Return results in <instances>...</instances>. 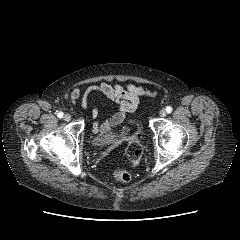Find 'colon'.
Listing matches in <instances>:
<instances>
[{
  "instance_id": "1",
  "label": "colon",
  "mask_w": 240,
  "mask_h": 240,
  "mask_svg": "<svg viewBox=\"0 0 240 240\" xmlns=\"http://www.w3.org/2000/svg\"><path fill=\"white\" fill-rule=\"evenodd\" d=\"M124 133H128L129 130L127 128L123 129ZM127 155L132 163H137L141 157L142 154V148L138 141H130L127 144ZM113 177L115 180L121 182V183H127L130 181L131 176L128 171L123 169H117L113 172Z\"/></svg>"
}]
</instances>
